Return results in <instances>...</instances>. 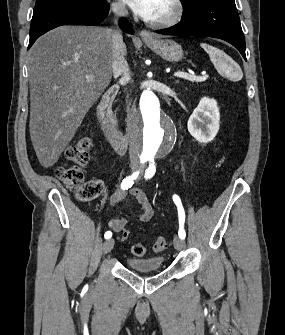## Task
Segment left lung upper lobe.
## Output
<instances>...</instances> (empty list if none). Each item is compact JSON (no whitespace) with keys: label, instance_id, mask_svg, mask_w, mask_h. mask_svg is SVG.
<instances>
[{"label":"left lung upper lobe","instance_id":"1","mask_svg":"<svg viewBox=\"0 0 285 335\" xmlns=\"http://www.w3.org/2000/svg\"><path fill=\"white\" fill-rule=\"evenodd\" d=\"M183 3V6H187V5H191L193 3H195L198 0H181Z\"/></svg>","mask_w":285,"mask_h":335}]
</instances>
